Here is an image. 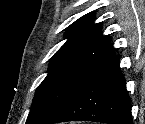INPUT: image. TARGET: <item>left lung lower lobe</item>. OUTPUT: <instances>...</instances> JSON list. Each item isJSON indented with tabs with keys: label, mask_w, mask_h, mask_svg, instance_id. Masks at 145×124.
I'll return each instance as SVG.
<instances>
[{
	"label": "left lung lower lobe",
	"mask_w": 145,
	"mask_h": 124,
	"mask_svg": "<svg viewBox=\"0 0 145 124\" xmlns=\"http://www.w3.org/2000/svg\"><path fill=\"white\" fill-rule=\"evenodd\" d=\"M67 121L133 124L119 56L114 55L43 124Z\"/></svg>",
	"instance_id": "obj_1"
}]
</instances>
